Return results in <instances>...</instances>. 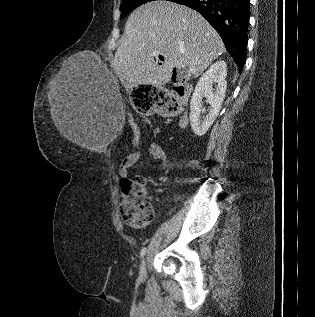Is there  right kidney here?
I'll return each mask as SVG.
<instances>
[{"mask_svg": "<svg viewBox=\"0 0 315 317\" xmlns=\"http://www.w3.org/2000/svg\"><path fill=\"white\" fill-rule=\"evenodd\" d=\"M227 65L224 61L213 63L199 79L190 101V122L193 132L197 136L204 135L215 121L221 109L227 89ZM213 84H217L213 89ZM202 96L206 97L210 105L208 114L201 119Z\"/></svg>", "mask_w": 315, "mask_h": 317, "instance_id": "obj_1", "label": "right kidney"}]
</instances>
